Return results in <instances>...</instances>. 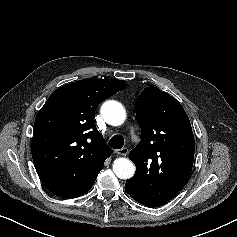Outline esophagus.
I'll return each instance as SVG.
<instances>
[{
	"mask_svg": "<svg viewBox=\"0 0 237 237\" xmlns=\"http://www.w3.org/2000/svg\"><path fill=\"white\" fill-rule=\"evenodd\" d=\"M115 153L121 156H127L129 153V150L127 148H122V149L115 150Z\"/></svg>",
	"mask_w": 237,
	"mask_h": 237,
	"instance_id": "34e87169",
	"label": "esophagus"
}]
</instances>
